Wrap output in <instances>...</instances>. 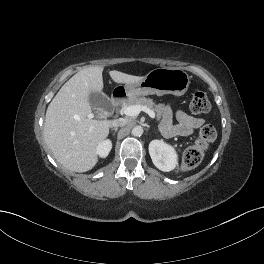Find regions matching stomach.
<instances>
[{
	"label": "stomach",
	"mask_w": 264,
	"mask_h": 264,
	"mask_svg": "<svg viewBox=\"0 0 264 264\" xmlns=\"http://www.w3.org/2000/svg\"><path fill=\"white\" fill-rule=\"evenodd\" d=\"M190 77L182 69L162 67L151 70L141 81L126 84L125 93L128 97L156 94L184 95L189 87Z\"/></svg>",
	"instance_id": "1"
}]
</instances>
